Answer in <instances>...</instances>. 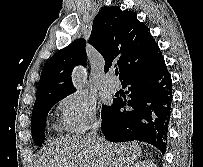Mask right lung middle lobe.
I'll return each mask as SVG.
<instances>
[{"label":"right lung middle lobe","mask_w":203,"mask_h":167,"mask_svg":"<svg viewBox=\"0 0 203 167\" xmlns=\"http://www.w3.org/2000/svg\"><path fill=\"white\" fill-rule=\"evenodd\" d=\"M63 98H65V96L51 98L34 106L31 119V132L36 145L41 146L42 143H44L45 123L49 110ZM109 108L110 106L102 107V117L107 113Z\"/></svg>","instance_id":"dd1d6c3e"}]
</instances>
